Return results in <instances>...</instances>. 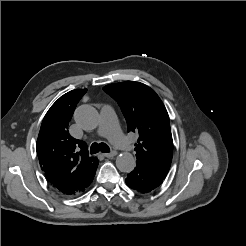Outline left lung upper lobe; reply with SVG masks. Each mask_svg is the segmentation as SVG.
Listing matches in <instances>:
<instances>
[{
  "instance_id": "5c2ea615",
  "label": "left lung upper lobe",
  "mask_w": 246,
  "mask_h": 246,
  "mask_svg": "<svg viewBox=\"0 0 246 246\" xmlns=\"http://www.w3.org/2000/svg\"><path fill=\"white\" fill-rule=\"evenodd\" d=\"M103 90L118 102L128 132L139 135L135 144L137 164L165 178L172 161L173 140L169 116L159 96L147 85L133 81L109 84Z\"/></svg>"
}]
</instances>
